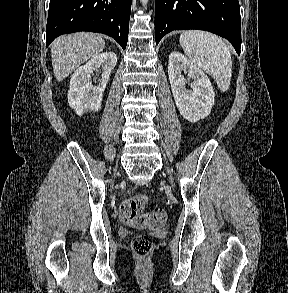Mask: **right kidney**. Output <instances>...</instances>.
I'll list each match as a JSON object with an SVG mask.
<instances>
[{"label": "right kidney", "instance_id": "right-kidney-1", "mask_svg": "<svg viewBox=\"0 0 288 293\" xmlns=\"http://www.w3.org/2000/svg\"><path fill=\"white\" fill-rule=\"evenodd\" d=\"M116 63L117 56L114 52H104L74 72L70 80L68 103L78 115L88 110H100L106 84ZM94 71L102 73L97 86L91 84V74Z\"/></svg>", "mask_w": 288, "mask_h": 293}]
</instances>
